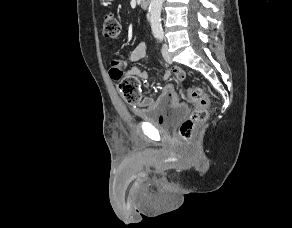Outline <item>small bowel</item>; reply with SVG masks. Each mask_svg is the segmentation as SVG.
I'll return each mask as SVG.
<instances>
[{
	"label": "small bowel",
	"mask_w": 292,
	"mask_h": 228,
	"mask_svg": "<svg viewBox=\"0 0 292 228\" xmlns=\"http://www.w3.org/2000/svg\"><path fill=\"white\" fill-rule=\"evenodd\" d=\"M148 58L146 44L144 42L139 43L128 56V60L131 62H137L142 59ZM127 66V60H118V67L123 71ZM175 76L179 80L183 81L186 79V73L178 66H173L171 70H167L164 73V80H168L171 76ZM124 76H133L145 85H148V73L140 69L139 67H132L124 72ZM178 102V95L173 84H167L163 87L158 97L154 98L146 96L140 99L134 105V112L140 116L157 114L164 109L175 105Z\"/></svg>",
	"instance_id": "small-bowel-1"
}]
</instances>
